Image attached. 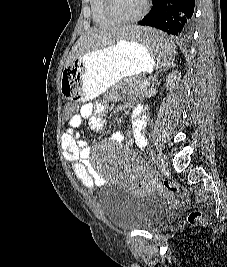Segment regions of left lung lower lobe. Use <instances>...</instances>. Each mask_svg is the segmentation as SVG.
I'll use <instances>...</instances> for the list:
<instances>
[{"mask_svg": "<svg viewBox=\"0 0 227 267\" xmlns=\"http://www.w3.org/2000/svg\"><path fill=\"white\" fill-rule=\"evenodd\" d=\"M194 6L195 0H153L150 12L138 24L155 27L168 35L184 39L191 30ZM157 41L173 42L167 35L164 40Z\"/></svg>", "mask_w": 227, "mask_h": 267, "instance_id": "0a47b994", "label": "left lung lower lobe"}]
</instances>
